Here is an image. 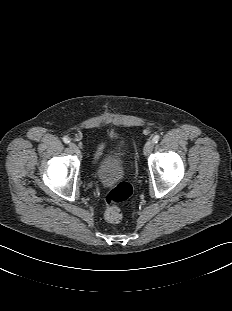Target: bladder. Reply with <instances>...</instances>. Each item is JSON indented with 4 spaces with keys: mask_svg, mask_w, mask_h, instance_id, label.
Returning a JSON list of instances; mask_svg holds the SVG:
<instances>
[{
    "mask_svg": "<svg viewBox=\"0 0 232 311\" xmlns=\"http://www.w3.org/2000/svg\"><path fill=\"white\" fill-rule=\"evenodd\" d=\"M113 147L100 162L97 168V178L103 186H112L123 177V153L124 145L119 137L112 136Z\"/></svg>",
    "mask_w": 232,
    "mask_h": 311,
    "instance_id": "obj_1",
    "label": "bladder"
}]
</instances>
